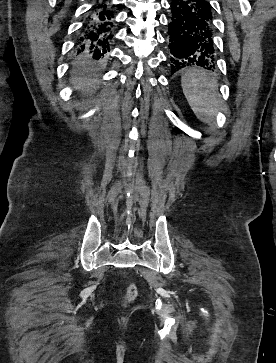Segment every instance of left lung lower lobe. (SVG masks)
Here are the masks:
<instances>
[{
	"mask_svg": "<svg viewBox=\"0 0 276 363\" xmlns=\"http://www.w3.org/2000/svg\"><path fill=\"white\" fill-rule=\"evenodd\" d=\"M171 14L168 24L171 74L196 65L206 72L214 71L213 22L208 0H171Z\"/></svg>",
	"mask_w": 276,
	"mask_h": 363,
	"instance_id": "0a47b994",
	"label": "left lung lower lobe"
}]
</instances>
